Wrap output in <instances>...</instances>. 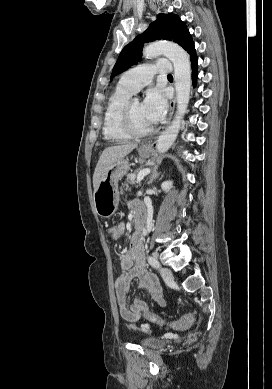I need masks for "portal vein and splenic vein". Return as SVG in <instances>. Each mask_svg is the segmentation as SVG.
<instances>
[{"label": "portal vein and splenic vein", "instance_id": "1", "mask_svg": "<svg viewBox=\"0 0 272 389\" xmlns=\"http://www.w3.org/2000/svg\"><path fill=\"white\" fill-rule=\"evenodd\" d=\"M150 171V168L141 170L137 175V183H140L144 179V177L150 173Z\"/></svg>", "mask_w": 272, "mask_h": 389}]
</instances>
